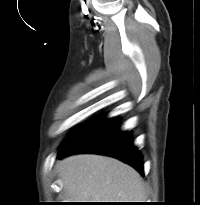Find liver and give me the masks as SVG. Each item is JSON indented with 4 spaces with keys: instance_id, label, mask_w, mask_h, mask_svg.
Instances as JSON below:
<instances>
[{
    "instance_id": "obj_1",
    "label": "liver",
    "mask_w": 200,
    "mask_h": 205,
    "mask_svg": "<svg viewBox=\"0 0 200 205\" xmlns=\"http://www.w3.org/2000/svg\"><path fill=\"white\" fill-rule=\"evenodd\" d=\"M67 196L76 202H143L139 173L114 158L95 154L69 156L56 164ZM90 200V201H89Z\"/></svg>"
}]
</instances>
